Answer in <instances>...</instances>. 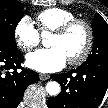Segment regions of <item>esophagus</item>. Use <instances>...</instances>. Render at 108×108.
Listing matches in <instances>:
<instances>
[{
  "mask_svg": "<svg viewBox=\"0 0 108 108\" xmlns=\"http://www.w3.org/2000/svg\"><path fill=\"white\" fill-rule=\"evenodd\" d=\"M39 77H40V80L42 81L48 80L50 78L48 74H40Z\"/></svg>",
  "mask_w": 108,
  "mask_h": 108,
  "instance_id": "1",
  "label": "esophagus"
}]
</instances>
